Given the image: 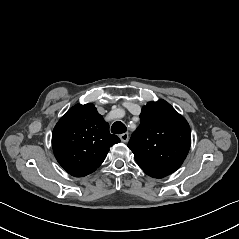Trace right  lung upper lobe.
<instances>
[{"instance_id":"cb5924a9","label":"right lung upper lobe","mask_w":239,"mask_h":239,"mask_svg":"<svg viewBox=\"0 0 239 239\" xmlns=\"http://www.w3.org/2000/svg\"><path fill=\"white\" fill-rule=\"evenodd\" d=\"M120 142L93 104L72 107L56 124L52 147L59 164L72 176L94 172L109 148Z\"/></svg>"}]
</instances>
